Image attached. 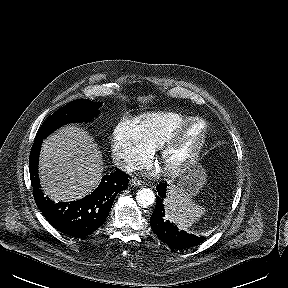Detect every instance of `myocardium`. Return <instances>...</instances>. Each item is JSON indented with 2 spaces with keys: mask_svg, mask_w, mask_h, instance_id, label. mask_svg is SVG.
Wrapping results in <instances>:
<instances>
[{
  "mask_svg": "<svg viewBox=\"0 0 288 288\" xmlns=\"http://www.w3.org/2000/svg\"><path fill=\"white\" fill-rule=\"evenodd\" d=\"M194 124L201 125L202 130L199 138L196 140L189 153L178 162L170 164L167 163V157L169 153L179 142V140L183 137V135L187 132V130ZM208 134H209V125L205 120L201 118H190L185 123L178 126L175 130L169 133L162 140L159 146L158 158L162 162L167 173L170 176L173 177L182 176L195 166L203 148L207 143Z\"/></svg>",
  "mask_w": 288,
  "mask_h": 288,
  "instance_id": "1",
  "label": "myocardium"
}]
</instances>
